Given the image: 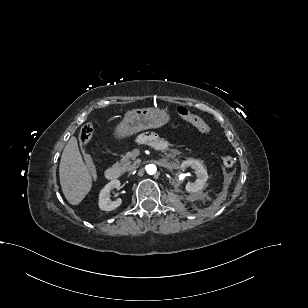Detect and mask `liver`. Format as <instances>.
<instances>
[{"instance_id": "obj_1", "label": "liver", "mask_w": 308, "mask_h": 308, "mask_svg": "<svg viewBox=\"0 0 308 308\" xmlns=\"http://www.w3.org/2000/svg\"><path fill=\"white\" fill-rule=\"evenodd\" d=\"M59 177L63 194L72 205L79 204L91 190L92 178L74 136L69 139L63 150Z\"/></svg>"}]
</instances>
